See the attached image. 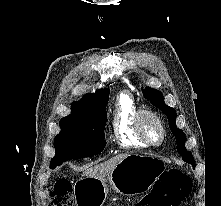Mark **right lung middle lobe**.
I'll list each match as a JSON object with an SVG mask.
<instances>
[{"label": "right lung middle lobe", "mask_w": 221, "mask_h": 206, "mask_svg": "<svg viewBox=\"0 0 221 206\" xmlns=\"http://www.w3.org/2000/svg\"><path fill=\"white\" fill-rule=\"evenodd\" d=\"M106 109L88 113L70 114L60 120V133L55 137V156L51 160L53 169L63 162L75 158L96 155L103 151Z\"/></svg>", "instance_id": "right-lung-middle-lobe-1"}]
</instances>
